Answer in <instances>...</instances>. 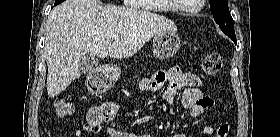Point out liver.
I'll use <instances>...</instances> for the list:
<instances>
[{"label":"liver","mask_w":280,"mask_h":137,"mask_svg":"<svg viewBox=\"0 0 280 137\" xmlns=\"http://www.w3.org/2000/svg\"><path fill=\"white\" fill-rule=\"evenodd\" d=\"M164 31L176 32L177 27L155 13L102 5L98 0L64 1L48 16L44 48L48 96H58L80 77L78 63L88 53L99 58H128ZM113 35L119 39H112Z\"/></svg>","instance_id":"1"}]
</instances>
